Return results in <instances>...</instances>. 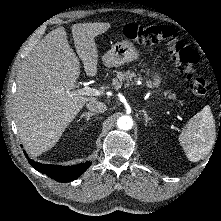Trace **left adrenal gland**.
<instances>
[{"label":"left adrenal gland","mask_w":221,"mask_h":221,"mask_svg":"<svg viewBox=\"0 0 221 221\" xmlns=\"http://www.w3.org/2000/svg\"><path fill=\"white\" fill-rule=\"evenodd\" d=\"M142 112H143V116L145 118V126H147L148 122L152 121V118L147 115L145 110H142Z\"/></svg>","instance_id":"left-adrenal-gland-1"}]
</instances>
